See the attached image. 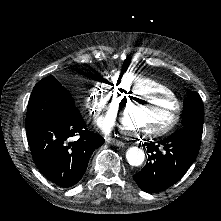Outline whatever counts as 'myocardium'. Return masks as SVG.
I'll use <instances>...</instances> for the list:
<instances>
[{
    "mask_svg": "<svg viewBox=\"0 0 221 221\" xmlns=\"http://www.w3.org/2000/svg\"><path fill=\"white\" fill-rule=\"evenodd\" d=\"M154 99H158V100H162L165 101L170 105L171 107V115L168 117V119L162 123H152V124H147L144 129L143 132H139L137 130L133 131V130H128V135H133L135 137L139 136V137H145V138H158L160 133H164L165 131H167L168 129H170L171 127H173L175 124H177L176 122V118L178 115V102L176 101V99L174 98L173 95H171V93H167L164 91H152V90H148L146 92H141L139 94H134L131 97L132 102L134 103H141V102H145V101H150V100H154Z\"/></svg>",
    "mask_w": 221,
    "mask_h": 221,
    "instance_id": "myocardium-1",
    "label": "myocardium"
}]
</instances>
